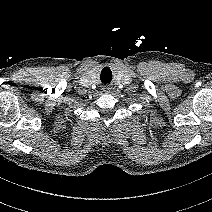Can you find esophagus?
<instances>
[{
	"label": "esophagus",
	"instance_id": "1",
	"mask_svg": "<svg viewBox=\"0 0 212 212\" xmlns=\"http://www.w3.org/2000/svg\"><path fill=\"white\" fill-rule=\"evenodd\" d=\"M109 87H104V92H108L109 91Z\"/></svg>",
	"mask_w": 212,
	"mask_h": 212
}]
</instances>
